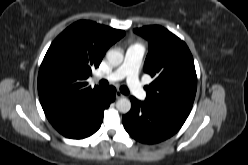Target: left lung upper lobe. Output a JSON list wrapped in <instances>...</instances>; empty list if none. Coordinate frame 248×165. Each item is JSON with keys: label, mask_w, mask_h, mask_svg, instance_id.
I'll list each match as a JSON object with an SVG mask.
<instances>
[{"label": "left lung upper lobe", "mask_w": 248, "mask_h": 165, "mask_svg": "<svg viewBox=\"0 0 248 165\" xmlns=\"http://www.w3.org/2000/svg\"><path fill=\"white\" fill-rule=\"evenodd\" d=\"M149 40L144 72L154 81L145 102L188 116L196 94L197 76L192 54L180 38L155 25L134 29Z\"/></svg>", "instance_id": "left-lung-upper-lobe-1"}]
</instances>
